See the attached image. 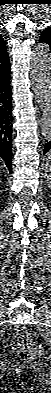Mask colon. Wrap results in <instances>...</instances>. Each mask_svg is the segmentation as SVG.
Listing matches in <instances>:
<instances>
[{"label": "colon", "mask_w": 51, "mask_h": 393, "mask_svg": "<svg viewBox=\"0 0 51 393\" xmlns=\"http://www.w3.org/2000/svg\"><path fill=\"white\" fill-rule=\"evenodd\" d=\"M11 349L23 360L39 358L43 353L42 346L35 344L25 327H17L12 335Z\"/></svg>", "instance_id": "obj_1"}]
</instances>
